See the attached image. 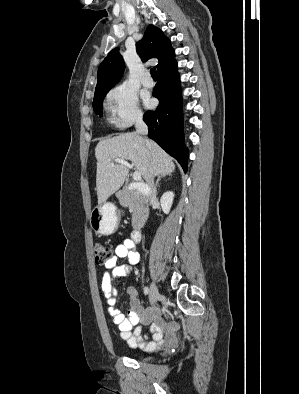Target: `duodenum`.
I'll list each match as a JSON object with an SVG mask.
<instances>
[{"instance_id": "1", "label": "duodenum", "mask_w": 299, "mask_h": 394, "mask_svg": "<svg viewBox=\"0 0 299 394\" xmlns=\"http://www.w3.org/2000/svg\"><path fill=\"white\" fill-rule=\"evenodd\" d=\"M132 189L140 192L144 196L150 195V188L148 187V185L144 183L133 184ZM141 233H142V226H138L137 228H135L134 231L132 232V236H131L132 240L134 242L140 241Z\"/></svg>"}]
</instances>
